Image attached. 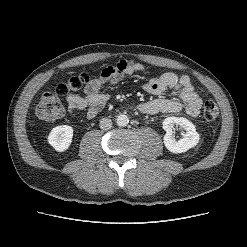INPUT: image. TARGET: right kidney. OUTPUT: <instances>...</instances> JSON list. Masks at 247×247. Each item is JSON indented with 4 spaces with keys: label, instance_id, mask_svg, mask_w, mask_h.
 I'll list each match as a JSON object with an SVG mask.
<instances>
[{
    "label": "right kidney",
    "instance_id": "obj_1",
    "mask_svg": "<svg viewBox=\"0 0 247 247\" xmlns=\"http://www.w3.org/2000/svg\"><path fill=\"white\" fill-rule=\"evenodd\" d=\"M73 128L61 125L53 128L48 135L49 144L58 152L66 151L72 142Z\"/></svg>",
    "mask_w": 247,
    "mask_h": 247
}]
</instances>
